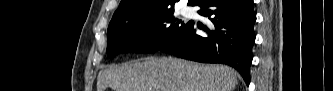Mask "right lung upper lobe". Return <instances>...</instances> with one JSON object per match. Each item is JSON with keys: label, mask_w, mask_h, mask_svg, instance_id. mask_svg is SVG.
I'll return each instance as SVG.
<instances>
[{"label": "right lung upper lobe", "mask_w": 333, "mask_h": 91, "mask_svg": "<svg viewBox=\"0 0 333 91\" xmlns=\"http://www.w3.org/2000/svg\"><path fill=\"white\" fill-rule=\"evenodd\" d=\"M176 2L178 0H121L111 22L127 21L158 12L174 10ZM201 2L202 0H189L188 5L196 6Z\"/></svg>", "instance_id": "1"}]
</instances>
